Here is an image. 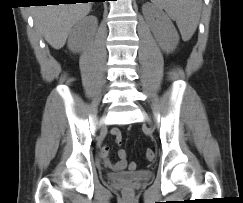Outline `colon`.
Instances as JSON below:
<instances>
[{
	"label": "colon",
	"instance_id": "5ec220e1",
	"mask_svg": "<svg viewBox=\"0 0 243 203\" xmlns=\"http://www.w3.org/2000/svg\"><path fill=\"white\" fill-rule=\"evenodd\" d=\"M121 156H126L125 150L120 151ZM145 157L148 161H153L155 159V153L152 150H147L145 153ZM135 163H131V167L135 168Z\"/></svg>",
	"mask_w": 243,
	"mask_h": 203
}]
</instances>
